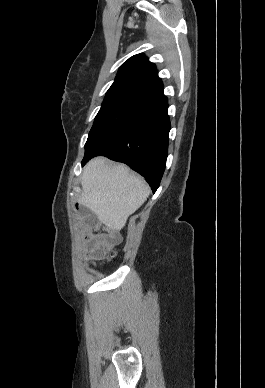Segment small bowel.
I'll return each mask as SVG.
<instances>
[{"label": "small bowel", "instance_id": "small-bowel-1", "mask_svg": "<svg viewBox=\"0 0 265 388\" xmlns=\"http://www.w3.org/2000/svg\"><path fill=\"white\" fill-rule=\"evenodd\" d=\"M85 226L90 233H96L101 229L102 224L97 221L93 216H87L85 218ZM118 239L119 235L116 227L109 226L107 230V235L104 238L91 239L87 243L86 249L90 252V257L92 259H99L109 251L111 246L115 242H117Z\"/></svg>", "mask_w": 265, "mask_h": 388}]
</instances>
